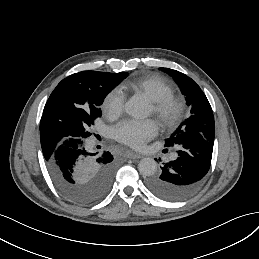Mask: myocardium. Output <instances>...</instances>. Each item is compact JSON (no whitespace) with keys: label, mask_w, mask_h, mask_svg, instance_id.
Returning <instances> with one entry per match:
<instances>
[{"label":"myocardium","mask_w":259,"mask_h":259,"mask_svg":"<svg viewBox=\"0 0 259 259\" xmlns=\"http://www.w3.org/2000/svg\"><path fill=\"white\" fill-rule=\"evenodd\" d=\"M152 113L167 130H174L184 114V102L178 96L152 101Z\"/></svg>","instance_id":"obj_1"}]
</instances>
